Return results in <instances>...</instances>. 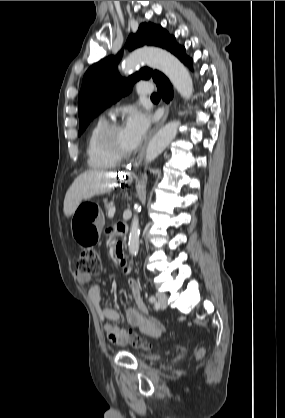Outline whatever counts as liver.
I'll return each instance as SVG.
<instances>
[{
	"label": "liver",
	"instance_id": "1",
	"mask_svg": "<svg viewBox=\"0 0 285 418\" xmlns=\"http://www.w3.org/2000/svg\"><path fill=\"white\" fill-rule=\"evenodd\" d=\"M114 184V174L102 170H88L80 174L68 189L64 199V214L73 215L82 200L106 193Z\"/></svg>",
	"mask_w": 285,
	"mask_h": 418
}]
</instances>
